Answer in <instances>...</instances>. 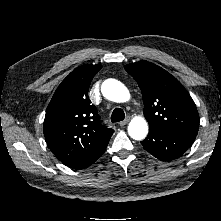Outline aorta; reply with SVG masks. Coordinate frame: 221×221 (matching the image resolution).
<instances>
[{
  "instance_id": "obj_1",
  "label": "aorta",
  "mask_w": 221,
  "mask_h": 221,
  "mask_svg": "<svg viewBox=\"0 0 221 221\" xmlns=\"http://www.w3.org/2000/svg\"><path fill=\"white\" fill-rule=\"evenodd\" d=\"M101 91L105 98L117 103L126 102L130 98L127 87L115 79L104 81ZM128 134L134 140H143L148 134L147 121L141 116L133 118L128 125Z\"/></svg>"
}]
</instances>
